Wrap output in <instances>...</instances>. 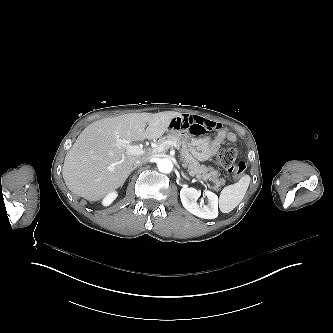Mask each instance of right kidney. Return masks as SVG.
<instances>
[{
	"instance_id": "right-kidney-1",
	"label": "right kidney",
	"mask_w": 333,
	"mask_h": 333,
	"mask_svg": "<svg viewBox=\"0 0 333 333\" xmlns=\"http://www.w3.org/2000/svg\"><path fill=\"white\" fill-rule=\"evenodd\" d=\"M118 194L116 191L108 193L102 200L103 206H109L116 198Z\"/></svg>"
}]
</instances>
